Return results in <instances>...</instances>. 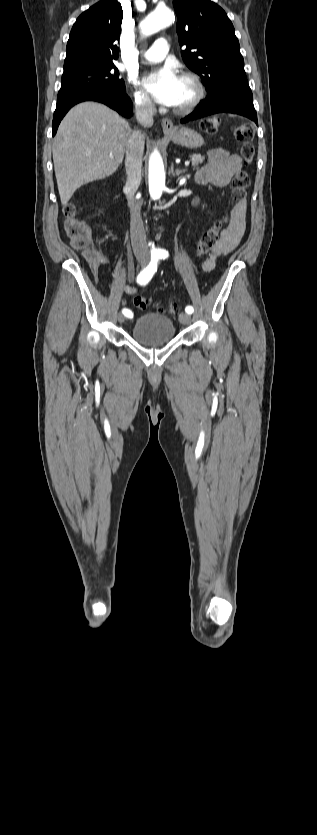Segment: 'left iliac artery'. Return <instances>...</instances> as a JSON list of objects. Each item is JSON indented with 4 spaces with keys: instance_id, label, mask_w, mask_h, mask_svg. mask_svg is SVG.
<instances>
[{
    "instance_id": "1",
    "label": "left iliac artery",
    "mask_w": 317,
    "mask_h": 835,
    "mask_svg": "<svg viewBox=\"0 0 317 835\" xmlns=\"http://www.w3.org/2000/svg\"><path fill=\"white\" fill-rule=\"evenodd\" d=\"M168 256H169V253H168V251H167V250H165V249L160 250V251H159V253H158V257H159L160 259H166V258H168ZM193 311H194V309H193V307H192V306H187V307L185 308V312H186V313H188V314L193 313Z\"/></svg>"
}]
</instances>
